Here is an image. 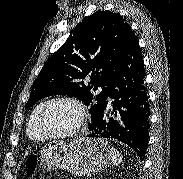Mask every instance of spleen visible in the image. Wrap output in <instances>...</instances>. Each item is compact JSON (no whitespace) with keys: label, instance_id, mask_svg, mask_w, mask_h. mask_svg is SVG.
Here are the masks:
<instances>
[{"label":"spleen","instance_id":"3e777b00","mask_svg":"<svg viewBox=\"0 0 183 179\" xmlns=\"http://www.w3.org/2000/svg\"><path fill=\"white\" fill-rule=\"evenodd\" d=\"M111 159L113 165L118 166L122 162L123 156L115 148H111Z\"/></svg>","mask_w":183,"mask_h":179}]
</instances>
